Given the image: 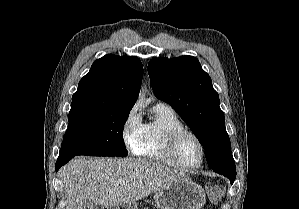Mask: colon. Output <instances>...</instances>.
Returning <instances> with one entry per match:
<instances>
[{
  "label": "colon",
  "instance_id": "5ec220e1",
  "mask_svg": "<svg viewBox=\"0 0 299 209\" xmlns=\"http://www.w3.org/2000/svg\"><path fill=\"white\" fill-rule=\"evenodd\" d=\"M206 191L208 194L209 201L212 204L218 203L225 194L226 187L223 184L208 183L206 185Z\"/></svg>",
  "mask_w": 299,
  "mask_h": 209
}]
</instances>
